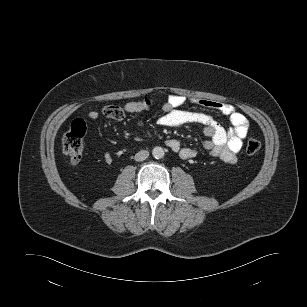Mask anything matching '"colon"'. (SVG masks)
Returning <instances> with one entry per match:
<instances>
[{
  "label": "colon",
  "mask_w": 307,
  "mask_h": 307,
  "mask_svg": "<svg viewBox=\"0 0 307 307\" xmlns=\"http://www.w3.org/2000/svg\"><path fill=\"white\" fill-rule=\"evenodd\" d=\"M86 134V124L83 120H75L62 139L63 152L69 157L70 161L74 164L81 160L84 137ZM261 148V143L254 138L249 139L245 145V151L249 155L257 153Z\"/></svg>",
  "instance_id": "5ec220e1"
}]
</instances>
